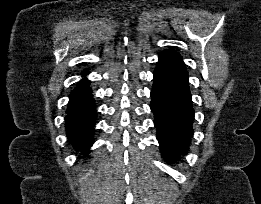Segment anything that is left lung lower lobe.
<instances>
[{
  "instance_id": "left-lung-lower-lobe-1",
  "label": "left lung lower lobe",
  "mask_w": 261,
  "mask_h": 204,
  "mask_svg": "<svg viewBox=\"0 0 261 204\" xmlns=\"http://www.w3.org/2000/svg\"><path fill=\"white\" fill-rule=\"evenodd\" d=\"M150 108L163 158L176 162L187 153L194 121L188 73L182 58L173 51L159 54L154 71Z\"/></svg>"
}]
</instances>
